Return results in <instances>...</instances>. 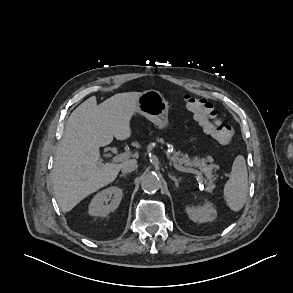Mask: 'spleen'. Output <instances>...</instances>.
I'll return each instance as SVG.
<instances>
[{"mask_svg": "<svg viewBox=\"0 0 293 293\" xmlns=\"http://www.w3.org/2000/svg\"><path fill=\"white\" fill-rule=\"evenodd\" d=\"M248 193V173L245 158L238 155L232 165L229 180L224 187V199L229 208L240 211L247 198Z\"/></svg>", "mask_w": 293, "mask_h": 293, "instance_id": "3e777b00", "label": "spleen"}]
</instances>
